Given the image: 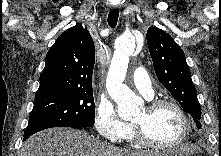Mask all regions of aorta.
Segmentation results:
<instances>
[{
  "label": "aorta",
  "instance_id": "obj_1",
  "mask_svg": "<svg viewBox=\"0 0 221 156\" xmlns=\"http://www.w3.org/2000/svg\"><path fill=\"white\" fill-rule=\"evenodd\" d=\"M136 38L131 33L121 35L115 42V52L108 71L106 88L111 98L118 105V114L128 120L138 115L143 101L123 82L126 77L129 56L134 52Z\"/></svg>",
  "mask_w": 221,
  "mask_h": 156
}]
</instances>
